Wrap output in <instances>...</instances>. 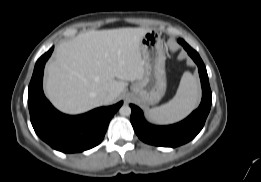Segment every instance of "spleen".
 I'll return each mask as SVG.
<instances>
[{
    "mask_svg": "<svg viewBox=\"0 0 261 182\" xmlns=\"http://www.w3.org/2000/svg\"><path fill=\"white\" fill-rule=\"evenodd\" d=\"M200 88L198 80L190 72L181 77L179 87L172 100L148 111L151 121L166 125L185 118L198 105Z\"/></svg>",
    "mask_w": 261,
    "mask_h": 182,
    "instance_id": "3e777b00",
    "label": "spleen"
}]
</instances>
